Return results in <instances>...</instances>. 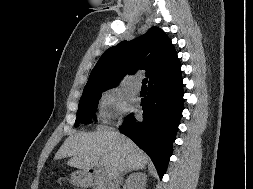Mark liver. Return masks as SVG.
I'll use <instances>...</instances> for the list:
<instances>
[{
  "label": "liver",
  "instance_id": "liver-1",
  "mask_svg": "<svg viewBox=\"0 0 253 189\" xmlns=\"http://www.w3.org/2000/svg\"><path fill=\"white\" fill-rule=\"evenodd\" d=\"M71 157L69 166L89 170L100 165L112 178L117 172L144 168L148 156L129 138L113 130L80 132L69 136L55 159Z\"/></svg>",
  "mask_w": 253,
  "mask_h": 189
}]
</instances>
